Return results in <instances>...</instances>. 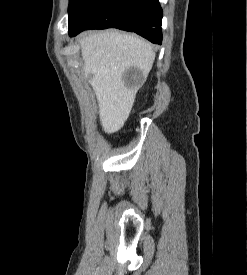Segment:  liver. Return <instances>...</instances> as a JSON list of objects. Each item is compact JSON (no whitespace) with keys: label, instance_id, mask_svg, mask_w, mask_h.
Here are the masks:
<instances>
[{"label":"liver","instance_id":"6515ba94","mask_svg":"<svg viewBox=\"0 0 247 275\" xmlns=\"http://www.w3.org/2000/svg\"><path fill=\"white\" fill-rule=\"evenodd\" d=\"M79 43L84 74L90 77L102 128L108 134L117 132L127 120L141 85L128 86L123 75L131 67L138 68L143 82L152 68L155 52L149 42L116 31L84 34Z\"/></svg>","mask_w":247,"mask_h":275}]
</instances>
